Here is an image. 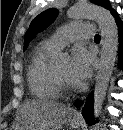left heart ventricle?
I'll return each instance as SVG.
<instances>
[{
	"mask_svg": "<svg viewBox=\"0 0 123 130\" xmlns=\"http://www.w3.org/2000/svg\"><path fill=\"white\" fill-rule=\"evenodd\" d=\"M56 70L58 72V74L69 84L71 85H74L71 80H70V77H69V64L66 62V63H63L59 66L56 67Z\"/></svg>",
	"mask_w": 123,
	"mask_h": 130,
	"instance_id": "b2bd125f",
	"label": "left heart ventricle"
}]
</instances>
